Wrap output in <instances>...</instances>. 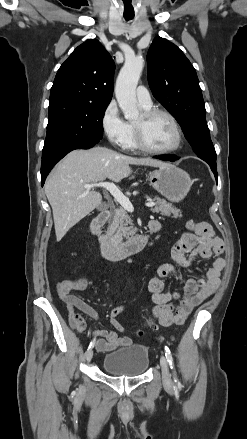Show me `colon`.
Here are the masks:
<instances>
[{"mask_svg": "<svg viewBox=\"0 0 247 439\" xmlns=\"http://www.w3.org/2000/svg\"><path fill=\"white\" fill-rule=\"evenodd\" d=\"M198 223H195V222H193V221H188L187 223H186V227H187V229L188 230H191V231H194V230H196L197 228H198ZM85 285V282L84 281H77V282H75V284H74V288H81V287H83ZM147 325L149 326V327H154V326H156L157 325V323H156V320H155V318L153 317V316H151L150 318H148V320H147ZM141 333V332H140Z\"/></svg>", "mask_w": 247, "mask_h": 439, "instance_id": "obj_1", "label": "colon"}]
</instances>
